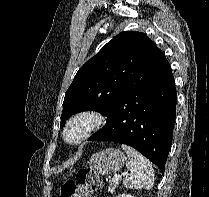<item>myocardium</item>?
<instances>
[{"instance_id":"f54148a6","label":"myocardium","mask_w":209,"mask_h":197,"mask_svg":"<svg viewBox=\"0 0 209 197\" xmlns=\"http://www.w3.org/2000/svg\"><path fill=\"white\" fill-rule=\"evenodd\" d=\"M106 123L105 115L95 109L74 113L62 129V140L68 146H78L94 135Z\"/></svg>"}]
</instances>
